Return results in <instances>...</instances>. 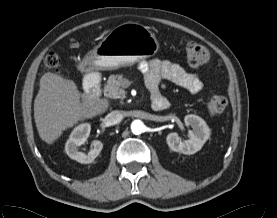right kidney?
<instances>
[{"label": "right kidney", "instance_id": "obj_1", "mask_svg": "<svg viewBox=\"0 0 277 218\" xmlns=\"http://www.w3.org/2000/svg\"><path fill=\"white\" fill-rule=\"evenodd\" d=\"M91 125L82 123L74 128L65 145L66 154L73 160L82 164H89L99 155L103 148V143L95 140L91 143V150L88 154L80 152L78 147L84 144L89 137Z\"/></svg>", "mask_w": 277, "mask_h": 218}]
</instances>
